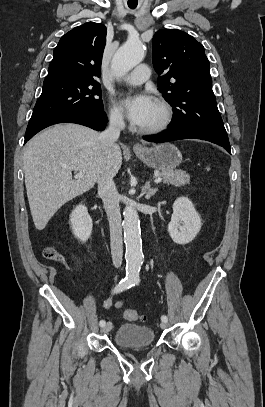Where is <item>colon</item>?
<instances>
[{"mask_svg":"<svg viewBox=\"0 0 265 407\" xmlns=\"http://www.w3.org/2000/svg\"><path fill=\"white\" fill-rule=\"evenodd\" d=\"M44 256L51 261L63 263L64 262V257L63 255L54 247H46L44 249ZM124 318L127 321H138V320H144L145 317L140 315L136 310L134 309H126L124 311Z\"/></svg>","mask_w":265,"mask_h":407,"instance_id":"colon-1","label":"colon"}]
</instances>
